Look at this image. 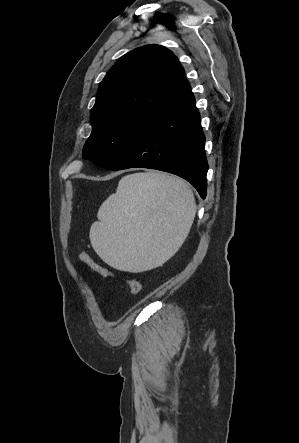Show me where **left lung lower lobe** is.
<instances>
[{
    "label": "left lung lower lobe",
    "mask_w": 299,
    "mask_h": 443,
    "mask_svg": "<svg viewBox=\"0 0 299 443\" xmlns=\"http://www.w3.org/2000/svg\"><path fill=\"white\" fill-rule=\"evenodd\" d=\"M204 143L200 114L188 85L111 170L140 167L169 172L189 181L205 199Z\"/></svg>",
    "instance_id": "0a47b994"
}]
</instances>
